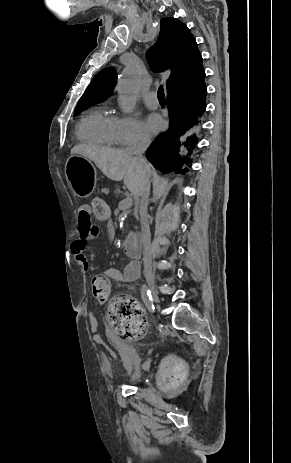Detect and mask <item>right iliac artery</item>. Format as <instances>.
I'll list each match as a JSON object with an SVG mask.
<instances>
[{"instance_id":"right-iliac-artery-1","label":"right iliac artery","mask_w":291,"mask_h":463,"mask_svg":"<svg viewBox=\"0 0 291 463\" xmlns=\"http://www.w3.org/2000/svg\"><path fill=\"white\" fill-rule=\"evenodd\" d=\"M141 294H142V299L146 307L148 308L149 311L153 312L155 308H154V304H153V300L151 296V291L148 289L146 285H143Z\"/></svg>"}]
</instances>
